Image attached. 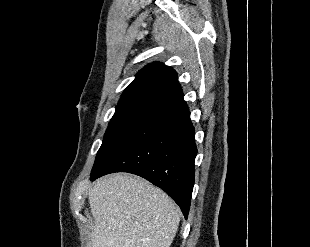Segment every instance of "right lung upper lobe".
<instances>
[{
    "mask_svg": "<svg viewBox=\"0 0 310 247\" xmlns=\"http://www.w3.org/2000/svg\"><path fill=\"white\" fill-rule=\"evenodd\" d=\"M183 101L177 73L154 62L144 67L123 92L116 110L146 107L161 112Z\"/></svg>",
    "mask_w": 310,
    "mask_h": 247,
    "instance_id": "1",
    "label": "right lung upper lobe"
}]
</instances>
